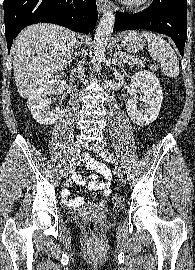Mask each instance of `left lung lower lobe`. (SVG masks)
Wrapping results in <instances>:
<instances>
[{
    "label": "left lung lower lobe",
    "mask_w": 195,
    "mask_h": 270,
    "mask_svg": "<svg viewBox=\"0 0 195 270\" xmlns=\"http://www.w3.org/2000/svg\"><path fill=\"white\" fill-rule=\"evenodd\" d=\"M133 29L170 36L183 56L187 38V0H153L150 7L136 14L116 12L113 31Z\"/></svg>",
    "instance_id": "left-lung-lower-lobe-1"
}]
</instances>
